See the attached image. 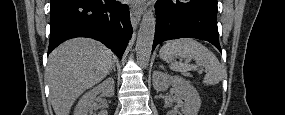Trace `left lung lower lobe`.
<instances>
[{"label":"left lung lower lobe","mask_w":285,"mask_h":115,"mask_svg":"<svg viewBox=\"0 0 285 115\" xmlns=\"http://www.w3.org/2000/svg\"><path fill=\"white\" fill-rule=\"evenodd\" d=\"M152 50L162 41L198 38L221 47L218 40L217 0H157Z\"/></svg>","instance_id":"left-lung-lower-lobe-1"}]
</instances>
